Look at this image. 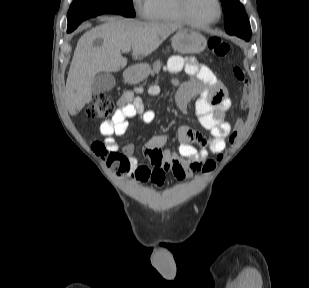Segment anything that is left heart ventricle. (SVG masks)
<instances>
[{"instance_id":"obj_1","label":"left heart ventricle","mask_w":309,"mask_h":288,"mask_svg":"<svg viewBox=\"0 0 309 288\" xmlns=\"http://www.w3.org/2000/svg\"><path fill=\"white\" fill-rule=\"evenodd\" d=\"M190 14L198 21L214 20L218 15L216 0H189Z\"/></svg>"}]
</instances>
